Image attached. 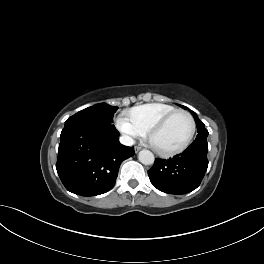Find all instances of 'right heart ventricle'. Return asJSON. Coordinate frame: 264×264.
Masks as SVG:
<instances>
[{
  "label": "right heart ventricle",
  "instance_id": "obj_1",
  "mask_svg": "<svg viewBox=\"0 0 264 264\" xmlns=\"http://www.w3.org/2000/svg\"><path fill=\"white\" fill-rule=\"evenodd\" d=\"M176 107L166 103H148L137 106L129 111L127 115L137 129L143 134H147L153 125Z\"/></svg>",
  "mask_w": 264,
  "mask_h": 264
}]
</instances>
